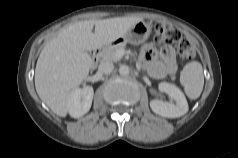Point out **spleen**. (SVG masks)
I'll return each instance as SVG.
<instances>
[{
	"label": "spleen",
	"mask_w": 238,
	"mask_h": 158,
	"mask_svg": "<svg viewBox=\"0 0 238 158\" xmlns=\"http://www.w3.org/2000/svg\"><path fill=\"white\" fill-rule=\"evenodd\" d=\"M181 84L190 99H197L203 90L204 75L202 65L193 61L186 64L180 74Z\"/></svg>",
	"instance_id": "1"
}]
</instances>
